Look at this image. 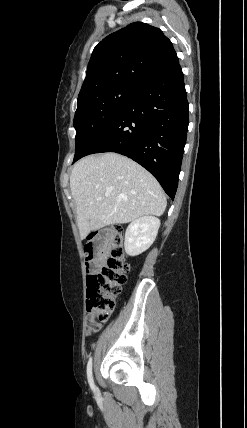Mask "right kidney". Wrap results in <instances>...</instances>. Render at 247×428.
<instances>
[{
    "label": "right kidney",
    "instance_id": "ca27d5eb",
    "mask_svg": "<svg viewBox=\"0 0 247 428\" xmlns=\"http://www.w3.org/2000/svg\"><path fill=\"white\" fill-rule=\"evenodd\" d=\"M160 220L152 216H144L134 220L125 232L124 248L130 256H137L146 251L154 242Z\"/></svg>",
    "mask_w": 247,
    "mask_h": 428
}]
</instances>
